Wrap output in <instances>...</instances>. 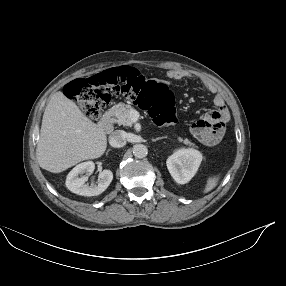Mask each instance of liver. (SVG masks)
<instances>
[{"label": "liver", "instance_id": "6515ba94", "mask_svg": "<svg viewBox=\"0 0 286 286\" xmlns=\"http://www.w3.org/2000/svg\"><path fill=\"white\" fill-rule=\"evenodd\" d=\"M106 148L103 128L61 91L54 93L43 114L37 145L40 167L60 173L81 161L99 158Z\"/></svg>", "mask_w": 286, "mask_h": 286}]
</instances>
